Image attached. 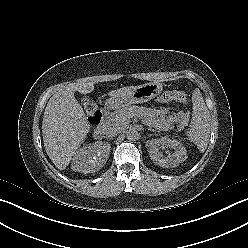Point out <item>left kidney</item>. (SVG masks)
Listing matches in <instances>:
<instances>
[{"mask_svg": "<svg viewBox=\"0 0 248 248\" xmlns=\"http://www.w3.org/2000/svg\"><path fill=\"white\" fill-rule=\"evenodd\" d=\"M146 147L153 162L161 167L173 168L187 159L185 147L175 139L172 140L167 137L151 139L146 142ZM164 147L172 148L174 152L168 157H164L159 152V149Z\"/></svg>", "mask_w": 248, "mask_h": 248, "instance_id": "1", "label": "left kidney"}]
</instances>
